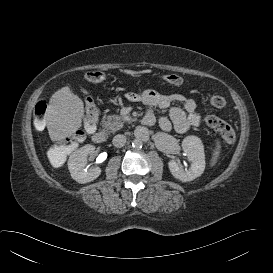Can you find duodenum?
Here are the masks:
<instances>
[{
	"instance_id": "duodenum-1",
	"label": "duodenum",
	"mask_w": 273,
	"mask_h": 273,
	"mask_svg": "<svg viewBox=\"0 0 273 273\" xmlns=\"http://www.w3.org/2000/svg\"><path fill=\"white\" fill-rule=\"evenodd\" d=\"M142 122L146 125H151L153 124L154 121V117L152 115H145L142 119ZM92 139L95 143L97 144H101L103 142H105L106 140V132L103 129H98L96 130L93 134H92Z\"/></svg>"
}]
</instances>
